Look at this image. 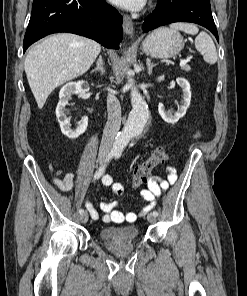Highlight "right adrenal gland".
<instances>
[{
	"label": "right adrenal gland",
	"mask_w": 247,
	"mask_h": 296,
	"mask_svg": "<svg viewBox=\"0 0 247 296\" xmlns=\"http://www.w3.org/2000/svg\"><path fill=\"white\" fill-rule=\"evenodd\" d=\"M97 71H99L101 73V75L105 74L104 61H103L101 55L98 57V60H97V63H96V68L94 70H92L91 73L97 72Z\"/></svg>",
	"instance_id": "right-adrenal-gland-1"
}]
</instances>
